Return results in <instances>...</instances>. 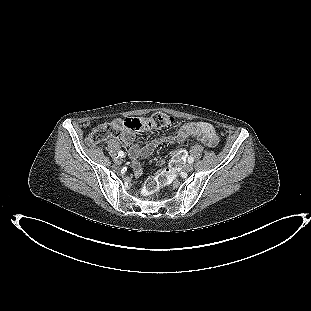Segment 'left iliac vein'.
Returning a JSON list of instances; mask_svg holds the SVG:
<instances>
[{
    "mask_svg": "<svg viewBox=\"0 0 311 311\" xmlns=\"http://www.w3.org/2000/svg\"><path fill=\"white\" fill-rule=\"evenodd\" d=\"M183 170L185 172H191L193 170V165L192 164H186L184 167H183Z\"/></svg>",
    "mask_w": 311,
    "mask_h": 311,
    "instance_id": "4c4485c4",
    "label": "left iliac vein"
}]
</instances>
